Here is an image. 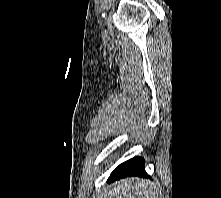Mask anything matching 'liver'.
Masks as SVG:
<instances>
[{
    "mask_svg": "<svg viewBox=\"0 0 221 198\" xmlns=\"http://www.w3.org/2000/svg\"><path fill=\"white\" fill-rule=\"evenodd\" d=\"M109 195L110 198H157L158 192L149 181L125 178L112 185Z\"/></svg>",
    "mask_w": 221,
    "mask_h": 198,
    "instance_id": "1",
    "label": "liver"
}]
</instances>
